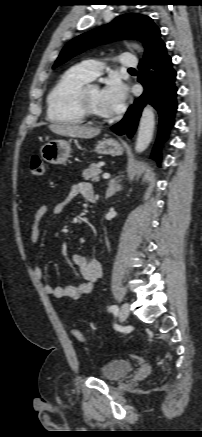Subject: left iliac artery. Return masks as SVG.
<instances>
[{"mask_svg":"<svg viewBox=\"0 0 202 437\" xmlns=\"http://www.w3.org/2000/svg\"><path fill=\"white\" fill-rule=\"evenodd\" d=\"M109 311L111 312H117L118 311V306L117 305H112L109 307Z\"/></svg>","mask_w":202,"mask_h":437,"instance_id":"1","label":"left iliac artery"}]
</instances>
